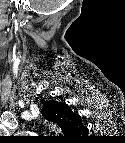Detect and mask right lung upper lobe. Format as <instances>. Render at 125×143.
Instances as JSON below:
<instances>
[{
	"label": "right lung upper lobe",
	"instance_id": "right-lung-upper-lobe-1",
	"mask_svg": "<svg viewBox=\"0 0 125 143\" xmlns=\"http://www.w3.org/2000/svg\"><path fill=\"white\" fill-rule=\"evenodd\" d=\"M42 114L47 119L56 122L66 136H78L88 132L81 123L80 116L73 113L67 104L46 101L43 103Z\"/></svg>",
	"mask_w": 125,
	"mask_h": 143
}]
</instances>
